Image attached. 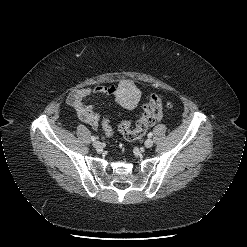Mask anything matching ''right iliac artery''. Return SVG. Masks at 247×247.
Listing matches in <instances>:
<instances>
[{
	"label": "right iliac artery",
	"mask_w": 247,
	"mask_h": 247,
	"mask_svg": "<svg viewBox=\"0 0 247 247\" xmlns=\"http://www.w3.org/2000/svg\"><path fill=\"white\" fill-rule=\"evenodd\" d=\"M91 140H92V141H95V140H96V137H95V136H92V137H91Z\"/></svg>",
	"instance_id": "right-iliac-artery-1"
}]
</instances>
